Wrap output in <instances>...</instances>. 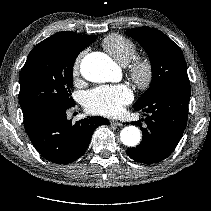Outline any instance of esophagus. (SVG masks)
Listing matches in <instances>:
<instances>
[{
    "label": "esophagus",
    "mask_w": 211,
    "mask_h": 211,
    "mask_svg": "<svg viewBox=\"0 0 211 211\" xmlns=\"http://www.w3.org/2000/svg\"><path fill=\"white\" fill-rule=\"evenodd\" d=\"M111 125H114V126H122V123L118 120H111L110 121Z\"/></svg>",
    "instance_id": "1"
}]
</instances>
